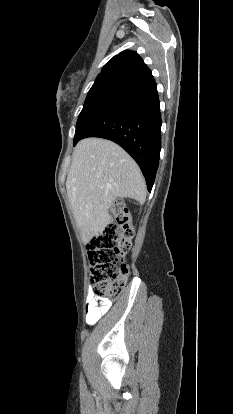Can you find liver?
I'll return each instance as SVG.
<instances>
[{
    "label": "liver",
    "instance_id": "liver-1",
    "mask_svg": "<svg viewBox=\"0 0 233 414\" xmlns=\"http://www.w3.org/2000/svg\"><path fill=\"white\" fill-rule=\"evenodd\" d=\"M74 218L86 241L110 223L109 208L118 198L143 204L146 184L136 162L116 143L101 138L78 142L66 180Z\"/></svg>",
    "mask_w": 233,
    "mask_h": 414
}]
</instances>
